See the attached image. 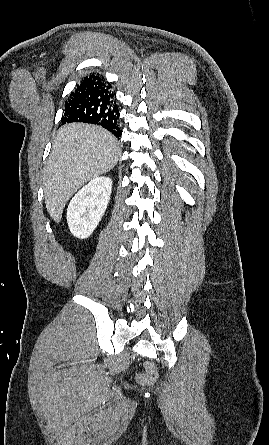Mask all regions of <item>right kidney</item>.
<instances>
[{
  "mask_svg": "<svg viewBox=\"0 0 269 445\" xmlns=\"http://www.w3.org/2000/svg\"><path fill=\"white\" fill-rule=\"evenodd\" d=\"M111 189L109 177H96L72 198L67 208V223L75 237L86 239L93 233L106 211Z\"/></svg>",
  "mask_w": 269,
  "mask_h": 445,
  "instance_id": "right-kidney-1",
  "label": "right kidney"
}]
</instances>
